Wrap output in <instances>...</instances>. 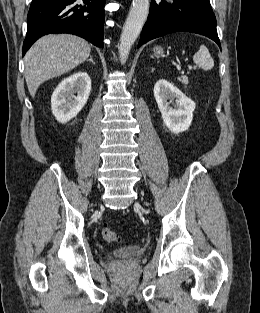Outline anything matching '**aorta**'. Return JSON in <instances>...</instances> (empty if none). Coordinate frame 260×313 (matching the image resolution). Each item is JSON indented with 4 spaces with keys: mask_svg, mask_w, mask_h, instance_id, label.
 I'll list each match as a JSON object with an SVG mask.
<instances>
[{
    "mask_svg": "<svg viewBox=\"0 0 260 313\" xmlns=\"http://www.w3.org/2000/svg\"><path fill=\"white\" fill-rule=\"evenodd\" d=\"M150 0H133L129 14L123 26L118 45L121 62L124 63L132 45L138 38L149 13Z\"/></svg>",
    "mask_w": 260,
    "mask_h": 313,
    "instance_id": "762f6f07",
    "label": "aorta"
}]
</instances>
